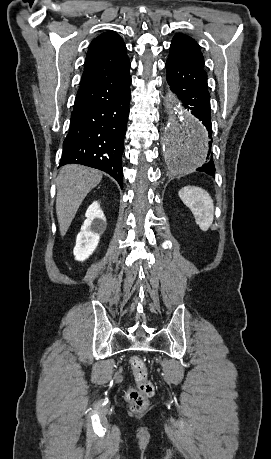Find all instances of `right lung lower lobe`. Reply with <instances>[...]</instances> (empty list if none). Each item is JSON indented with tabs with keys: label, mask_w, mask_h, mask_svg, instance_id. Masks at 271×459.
Returning <instances> with one entry per match:
<instances>
[{
	"label": "right lung lower lobe",
	"mask_w": 271,
	"mask_h": 459,
	"mask_svg": "<svg viewBox=\"0 0 271 459\" xmlns=\"http://www.w3.org/2000/svg\"><path fill=\"white\" fill-rule=\"evenodd\" d=\"M131 77L128 73L77 93L59 167L76 163L107 172L121 188Z\"/></svg>",
	"instance_id": "obj_1"
}]
</instances>
